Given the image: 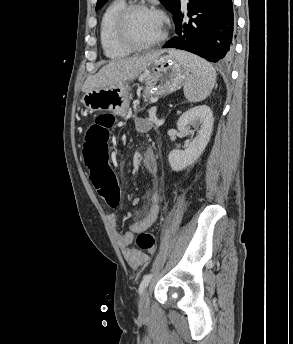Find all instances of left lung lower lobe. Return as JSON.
I'll return each mask as SVG.
<instances>
[{
	"instance_id": "1",
	"label": "left lung lower lobe",
	"mask_w": 293,
	"mask_h": 344,
	"mask_svg": "<svg viewBox=\"0 0 293 344\" xmlns=\"http://www.w3.org/2000/svg\"><path fill=\"white\" fill-rule=\"evenodd\" d=\"M189 21L181 4L173 13L176 36L163 48H177L210 62L226 63L233 56L234 15L232 0H189Z\"/></svg>"
}]
</instances>
